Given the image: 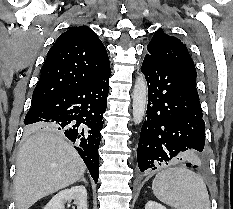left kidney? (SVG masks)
<instances>
[{"label": "left kidney", "mask_w": 233, "mask_h": 209, "mask_svg": "<svg viewBox=\"0 0 233 209\" xmlns=\"http://www.w3.org/2000/svg\"><path fill=\"white\" fill-rule=\"evenodd\" d=\"M145 209H166V207L155 201H148L145 205Z\"/></svg>", "instance_id": "obj_1"}]
</instances>
